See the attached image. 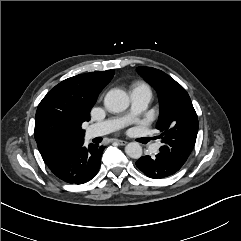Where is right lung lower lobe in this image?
I'll list each match as a JSON object with an SVG mask.
<instances>
[{
	"label": "right lung lower lobe",
	"instance_id": "1",
	"mask_svg": "<svg viewBox=\"0 0 241 241\" xmlns=\"http://www.w3.org/2000/svg\"><path fill=\"white\" fill-rule=\"evenodd\" d=\"M76 141L60 148L45 159L44 162L51 172L64 182L83 184L90 181L98 172L104 146Z\"/></svg>",
	"mask_w": 241,
	"mask_h": 241
}]
</instances>
